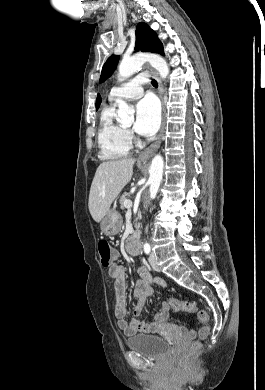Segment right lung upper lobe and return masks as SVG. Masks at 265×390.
Wrapping results in <instances>:
<instances>
[{
  "instance_id": "obj_1",
  "label": "right lung upper lobe",
  "mask_w": 265,
  "mask_h": 390,
  "mask_svg": "<svg viewBox=\"0 0 265 390\" xmlns=\"http://www.w3.org/2000/svg\"><path fill=\"white\" fill-rule=\"evenodd\" d=\"M100 103H101V96L98 94L97 99H96V109L99 108Z\"/></svg>"
}]
</instances>
